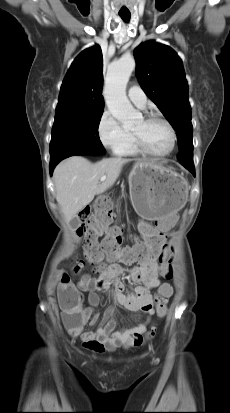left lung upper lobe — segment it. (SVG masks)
I'll return each instance as SVG.
<instances>
[{
  "label": "left lung upper lobe",
  "instance_id": "left-lung-upper-lobe-1",
  "mask_svg": "<svg viewBox=\"0 0 230 413\" xmlns=\"http://www.w3.org/2000/svg\"><path fill=\"white\" fill-rule=\"evenodd\" d=\"M133 54L142 89L177 133L179 163L194 164L191 106L182 60L172 48L154 41L141 43Z\"/></svg>",
  "mask_w": 230,
  "mask_h": 413
}]
</instances>
